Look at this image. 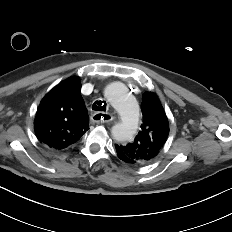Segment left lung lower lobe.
<instances>
[{"instance_id": "0a47b994", "label": "left lung lower lobe", "mask_w": 232, "mask_h": 232, "mask_svg": "<svg viewBox=\"0 0 232 232\" xmlns=\"http://www.w3.org/2000/svg\"><path fill=\"white\" fill-rule=\"evenodd\" d=\"M117 156L119 159H121L123 162L131 164V159L125 156L122 152L116 150ZM133 165V164H132Z\"/></svg>"}]
</instances>
